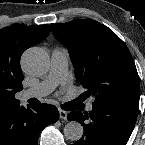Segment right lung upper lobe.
Here are the masks:
<instances>
[{"label":"right lung upper lobe","instance_id":"1","mask_svg":"<svg viewBox=\"0 0 145 145\" xmlns=\"http://www.w3.org/2000/svg\"><path fill=\"white\" fill-rule=\"evenodd\" d=\"M49 33V25L13 24L0 30V110L20 103L15 94L23 89L21 55Z\"/></svg>","mask_w":145,"mask_h":145}]
</instances>
